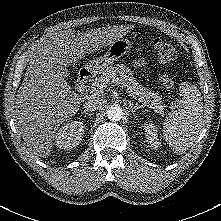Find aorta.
Segmentation results:
<instances>
[{"mask_svg": "<svg viewBox=\"0 0 221 221\" xmlns=\"http://www.w3.org/2000/svg\"><path fill=\"white\" fill-rule=\"evenodd\" d=\"M107 116H108V119L113 122L120 121L123 117V110L119 106H112L107 111Z\"/></svg>", "mask_w": 221, "mask_h": 221, "instance_id": "1", "label": "aorta"}]
</instances>
